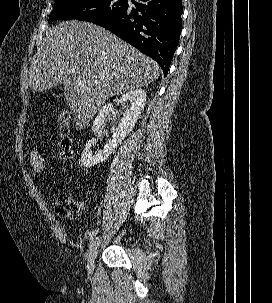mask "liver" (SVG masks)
<instances>
[{"mask_svg": "<svg viewBox=\"0 0 272 303\" xmlns=\"http://www.w3.org/2000/svg\"><path fill=\"white\" fill-rule=\"evenodd\" d=\"M159 74L154 60L110 31L71 20L46 31L28 81L37 92L63 84L75 128L81 130L107 99L153 83Z\"/></svg>", "mask_w": 272, "mask_h": 303, "instance_id": "liver-1", "label": "liver"}]
</instances>
